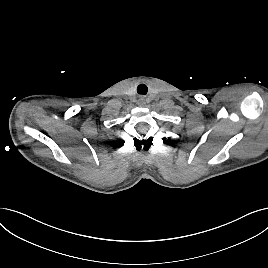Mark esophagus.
<instances>
[{
    "instance_id": "34e87169",
    "label": "esophagus",
    "mask_w": 268,
    "mask_h": 268,
    "mask_svg": "<svg viewBox=\"0 0 268 268\" xmlns=\"http://www.w3.org/2000/svg\"><path fill=\"white\" fill-rule=\"evenodd\" d=\"M146 104V99L144 96H141L138 100V105L139 106H144Z\"/></svg>"
}]
</instances>
